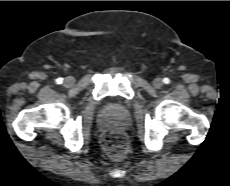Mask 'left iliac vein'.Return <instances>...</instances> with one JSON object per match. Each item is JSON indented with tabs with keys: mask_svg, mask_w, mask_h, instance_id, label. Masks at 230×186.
Listing matches in <instances>:
<instances>
[{
	"mask_svg": "<svg viewBox=\"0 0 230 186\" xmlns=\"http://www.w3.org/2000/svg\"><path fill=\"white\" fill-rule=\"evenodd\" d=\"M153 86L155 88H161L163 86V80L161 78H155L153 81Z\"/></svg>",
	"mask_w": 230,
	"mask_h": 186,
	"instance_id": "left-iliac-vein-1",
	"label": "left iliac vein"
}]
</instances>
